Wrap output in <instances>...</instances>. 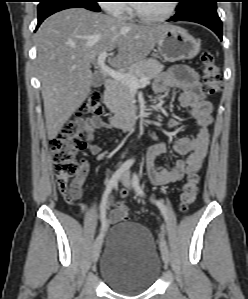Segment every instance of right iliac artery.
I'll return each instance as SVG.
<instances>
[{"instance_id": "right-iliac-artery-1", "label": "right iliac artery", "mask_w": 248, "mask_h": 299, "mask_svg": "<svg viewBox=\"0 0 248 299\" xmlns=\"http://www.w3.org/2000/svg\"><path fill=\"white\" fill-rule=\"evenodd\" d=\"M134 160L133 159H129L126 160L121 166L120 168L112 175L111 179L107 182L106 185V189L103 193L102 196V200H101V213H100V217H101V222H102V232L100 234L99 237H103V232L105 231L106 227H107V221H106V205H107V200H108V196L111 193L113 187L117 186L118 181L120 179V177L127 172L130 167L133 165Z\"/></svg>"}]
</instances>
